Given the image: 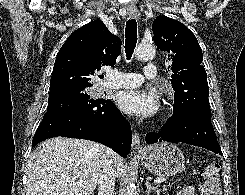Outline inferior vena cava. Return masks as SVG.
<instances>
[{
    "label": "inferior vena cava",
    "mask_w": 245,
    "mask_h": 195,
    "mask_svg": "<svg viewBox=\"0 0 245 195\" xmlns=\"http://www.w3.org/2000/svg\"><path fill=\"white\" fill-rule=\"evenodd\" d=\"M115 153L109 149H105V158L98 176V195H114L115 188V170L112 158Z\"/></svg>",
    "instance_id": "obj_1"
}]
</instances>
